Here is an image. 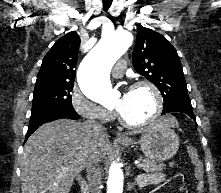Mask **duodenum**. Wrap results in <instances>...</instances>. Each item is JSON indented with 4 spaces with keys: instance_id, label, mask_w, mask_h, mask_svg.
<instances>
[{
    "instance_id": "obj_1",
    "label": "duodenum",
    "mask_w": 221,
    "mask_h": 193,
    "mask_svg": "<svg viewBox=\"0 0 221 193\" xmlns=\"http://www.w3.org/2000/svg\"><path fill=\"white\" fill-rule=\"evenodd\" d=\"M81 193H90L88 182L85 179L81 181Z\"/></svg>"
}]
</instances>
